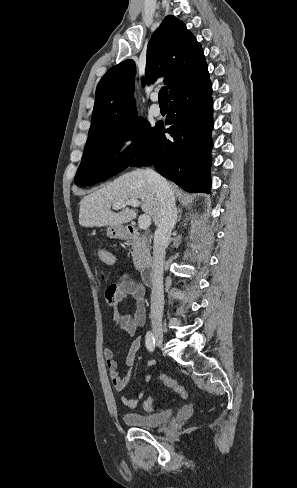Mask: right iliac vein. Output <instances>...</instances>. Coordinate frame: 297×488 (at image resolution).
Masks as SVG:
<instances>
[{
    "label": "right iliac vein",
    "instance_id": "63e3f726",
    "mask_svg": "<svg viewBox=\"0 0 297 488\" xmlns=\"http://www.w3.org/2000/svg\"><path fill=\"white\" fill-rule=\"evenodd\" d=\"M152 330H153V335L156 340V343L158 346H162L163 344V329H162V323L160 320H153L152 321Z\"/></svg>",
    "mask_w": 297,
    "mask_h": 488
}]
</instances>
